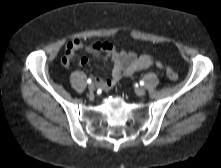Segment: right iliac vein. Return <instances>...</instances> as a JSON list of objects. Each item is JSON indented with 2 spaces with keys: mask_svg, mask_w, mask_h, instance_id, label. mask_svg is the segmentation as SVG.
Returning <instances> with one entry per match:
<instances>
[{
  "mask_svg": "<svg viewBox=\"0 0 221 168\" xmlns=\"http://www.w3.org/2000/svg\"><path fill=\"white\" fill-rule=\"evenodd\" d=\"M88 89L90 92H93L95 90V85L92 83L88 86Z\"/></svg>",
  "mask_w": 221,
  "mask_h": 168,
  "instance_id": "63e3f726",
  "label": "right iliac vein"
}]
</instances>
